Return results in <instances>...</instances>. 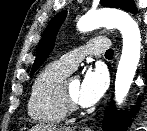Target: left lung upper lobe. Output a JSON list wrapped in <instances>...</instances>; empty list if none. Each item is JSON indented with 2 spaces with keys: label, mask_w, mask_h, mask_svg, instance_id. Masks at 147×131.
Listing matches in <instances>:
<instances>
[{
  "label": "left lung upper lobe",
  "mask_w": 147,
  "mask_h": 131,
  "mask_svg": "<svg viewBox=\"0 0 147 131\" xmlns=\"http://www.w3.org/2000/svg\"><path fill=\"white\" fill-rule=\"evenodd\" d=\"M104 7L120 8L132 13L135 12L133 0H101ZM66 17V11L58 13L46 27L42 39L39 42L36 59L34 61L31 75L42 65L54 47V41L59 27Z\"/></svg>",
  "instance_id": "5c2ea615"
}]
</instances>
